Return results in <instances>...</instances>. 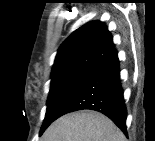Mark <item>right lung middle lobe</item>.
<instances>
[{
  "label": "right lung middle lobe",
  "mask_w": 155,
  "mask_h": 141,
  "mask_svg": "<svg viewBox=\"0 0 155 141\" xmlns=\"http://www.w3.org/2000/svg\"><path fill=\"white\" fill-rule=\"evenodd\" d=\"M94 71L95 70L80 68L52 76L50 92L47 100V110L39 133L40 136L54 120L60 117L62 107L87 81Z\"/></svg>",
  "instance_id": "obj_1"
}]
</instances>
